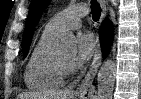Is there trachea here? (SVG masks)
I'll list each match as a JSON object with an SVG mask.
<instances>
[{
	"label": "trachea",
	"instance_id": "trachea-1",
	"mask_svg": "<svg viewBox=\"0 0 141 99\" xmlns=\"http://www.w3.org/2000/svg\"><path fill=\"white\" fill-rule=\"evenodd\" d=\"M91 14L94 21H97L101 15V8L96 0L91 1Z\"/></svg>",
	"mask_w": 141,
	"mask_h": 99
}]
</instances>
